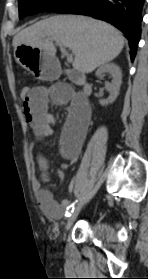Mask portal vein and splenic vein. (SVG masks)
<instances>
[{"label": "portal vein and splenic vein", "mask_w": 148, "mask_h": 279, "mask_svg": "<svg viewBox=\"0 0 148 279\" xmlns=\"http://www.w3.org/2000/svg\"><path fill=\"white\" fill-rule=\"evenodd\" d=\"M55 41H56V44L60 47L63 55L66 56L67 62L72 63V61H73L72 54L68 53V51L66 50V47L60 41H58V40H55Z\"/></svg>", "instance_id": "18ae733b"}]
</instances>
